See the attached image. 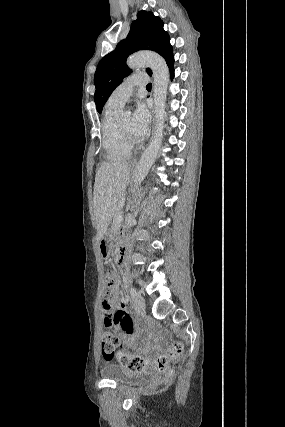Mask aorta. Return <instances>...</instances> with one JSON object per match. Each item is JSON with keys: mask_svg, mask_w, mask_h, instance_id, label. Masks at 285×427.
Wrapping results in <instances>:
<instances>
[{"mask_svg": "<svg viewBox=\"0 0 285 427\" xmlns=\"http://www.w3.org/2000/svg\"><path fill=\"white\" fill-rule=\"evenodd\" d=\"M127 65L131 69L150 67L154 78L155 133L136 167L134 189H137L155 162L162 144L166 98L169 85V70L165 60L154 52L134 53L128 57Z\"/></svg>", "mask_w": 285, "mask_h": 427, "instance_id": "obj_1", "label": "aorta"}]
</instances>
